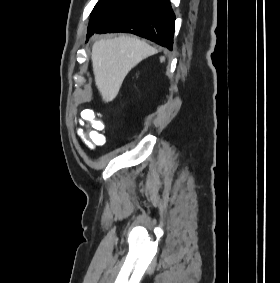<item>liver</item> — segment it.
Returning <instances> with one entry per match:
<instances>
[{
  "instance_id": "obj_1",
  "label": "liver",
  "mask_w": 280,
  "mask_h": 283,
  "mask_svg": "<svg viewBox=\"0 0 280 283\" xmlns=\"http://www.w3.org/2000/svg\"><path fill=\"white\" fill-rule=\"evenodd\" d=\"M155 53V48L132 36L121 35L95 41L92 46V67L95 84L103 101H112L128 72Z\"/></svg>"
}]
</instances>
